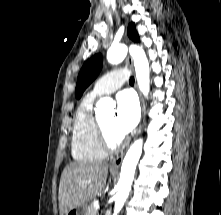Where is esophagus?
Instances as JSON below:
<instances>
[{"label":"esophagus","mask_w":221,"mask_h":215,"mask_svg":"<svg viewBox=\"0 0 221 215\" xmlns=\"http://www.w3.org/2000/svg\"><path fill=\"white\" fill-rule=\"evenodd\" d=\"M126 61H127V64L129 66V68L133 70V60H132V58L130 56H128ZM139 97H140V104H141V120H140L138 129H137V132H136V136L141 132V129L143 127L144 120H145V106H144V102H143V99H142V96H141L140 93H139ZM123 157H124V153L122 152L119 156H117L111 162V165H110L111 168H118L122 163Z\"/></svg>","instance_id":"34e87169"}]
</instances>
